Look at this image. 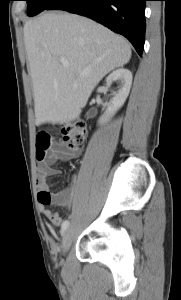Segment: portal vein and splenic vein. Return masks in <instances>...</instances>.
Here are the masks:
<instances>
[{"label": "portal vein and splenic vein", "instance_id": "portal-vein-and-splenic-vein-1", "mask_svg": "<svg viewBox=\"0 0 181 300\" xmlns=\"http://www.w3.org/2000/svg\"><path fill=\"white\" fill-rule=\"evenodd\" d=\"M61 63H62V65H63L65 68H68L69 64H68L67 61L61 60ZM84 74H86V72H81V73H80V75H84Z\"/></svg>", "mask_w": 181, "mask_h": 300}]
</instances>
